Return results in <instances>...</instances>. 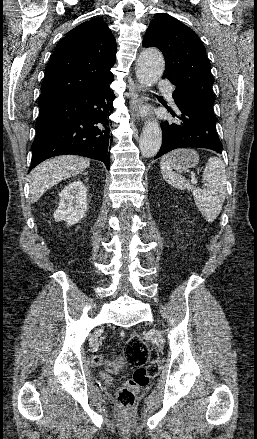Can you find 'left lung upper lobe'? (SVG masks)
<instances>
[{
    "mask_svg": "<svg viewBox=\"0 0 257 439\" xmlns=\"http://www.w3.org/2000/svg\"><path fill=\"white\" fill-rule=\"evenodd\" d=\"M143 47L159 48L165 58L163 78L213 109L214 79L206 50L196 33L177 19L158 13L151 21Z\"/></svg>",
    "mask_w": 257,
    "mask_h": 439,
    "instance_id": "obj_1",
    "label": "left lung upper lobe"
}]
</instances>
